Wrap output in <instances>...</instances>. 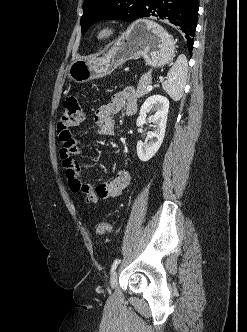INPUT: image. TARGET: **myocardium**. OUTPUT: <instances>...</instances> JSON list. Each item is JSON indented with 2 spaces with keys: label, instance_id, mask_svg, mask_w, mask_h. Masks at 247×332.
I'll return each mask as SVG.
<instances>
[{
  "label": "myocardium",
  "instance_id": "myocardium-1",
  "mask_svg": "<svg viewBox=\"0 0 247 332\" xmlns=\"http://www.w3.org/2000/svg\"><path fill=\"white\" fill-rule=\"evenodd\" d=\"M118 34V27L113 23H103L96 27L94 36L98 41H107Z\"/></svg>",
  "mask_w": 247,
  "mask_h": 332
}]
</instances>
